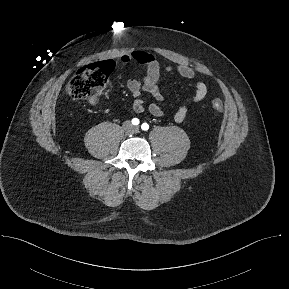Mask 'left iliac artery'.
I'll return each mask as SVG.
<instances>
[{
	"label": "left iliac artery",
	"mask_w": 289,
	"mask_h": 289,
	"mask_svg": "<svg viewBox=\"0 0 289 289\" xmlns=\"http://www.w3.org/2000/svg\"><path fill=\"white\" fill-rule=\"evenodd\" d=\"M142 130L147 131L149 129V125L147 123H143L141 125Z\"/></svg>",
	"instance_id": "obj_1"
}]
</instances>
